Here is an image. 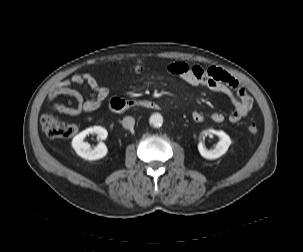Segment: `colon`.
<instances>
[{"instance_id": "colon-1", "label": "colon", "mask_w": 303, "mask_h": 252, "mask_svg": "<svg viewBox=\"0 0 303 252\" xmlns=\"http://www.w3.org/2000/svg\"><path fill=\"white\" fill-rule=\"evenodd\" d=\"M132 68L139 71L143 68V63L135 62ZM41 126L45 135L52 139L68 138L77 133V127L73 124L63 122L54 116L52 112H48L41 119ZM259 131V126L255 122L248 125V132L251 135H256Z\"/></svg>"}]
</instances>
